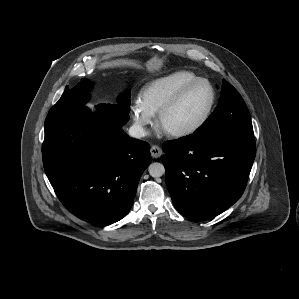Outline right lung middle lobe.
Masks as SVG:
<instances>
[{"instance_id": "dd1d6c3e", "label": "right lung middle lobe", "mask_w": 299, "mask_h": 299, "mask_svg": "<svg viewBox=\"0 0 299 299\" xmlns=\"http://www.w3.org/2000/svg\"><path fill=\"white\" fill-rule=\"evenodd\" d=\"M92 83L87 79L82 81L73 89L65 88L59 101L50 109L48 115L68 114L75 109L82 107L89 99V91ZM122 109L130 111V92L122 93L118 98V104Z\"/></svg>"}]
</instances>
